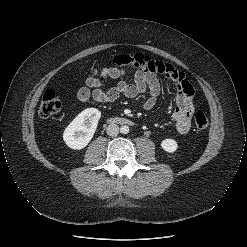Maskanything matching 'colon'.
Returning <instances> with one entry per match:
<instances>
[{
	"label": "colon",
	"mask_w": 247,
	"mask_h": 247,
	"mask_svg": "<svg viewBox=\"0 0 247 247\" xmlns=\"http://www.w3.org/2000/svg\"><path fill=\"white\" fill-rule=\"evenodd\" d=\"M61 102L54 91L48 90L45 92L39 114L42 118H49L59 112ZM194 123L197 129L203 130L208 126V118L203 112H197L194 117Z\"/></svg>",
	"instance_id": "1"
}]
</instances>
